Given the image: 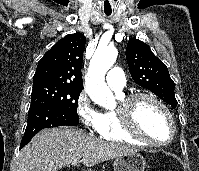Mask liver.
Listing matches in <instances>:
<instances>
[{
    "label": "liver",
    "mask_w": 199,
    "mask_h": 171,
    "mask_svg": "<svg viewBox=\"0 0 199 171\" xmlns=\"http://www.w3.org/2000/svg\"><path fill=\"white\" fill-rule=\"evenodd\" d=\"M137 153L126 145L107 142L69 126L43 129L19 153L16 171H58L75 159L91 167L121 155Z\"/></svg>",
    "instance_id": "liver-1"
}]
</instances>
